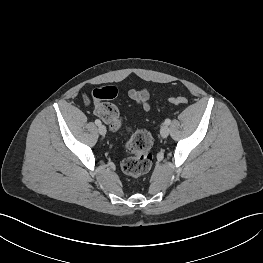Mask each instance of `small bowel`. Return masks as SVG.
<instances>
[{
  "label": "small bowel",
  "mask_w": 263,
  "mask_h": 263,
  "mask_svg": "<svg viewBox=\"0 0 263 263\" xmlns=\"http://www.w3.org/2000/svg\"><path fill=\"white\" fill-rule=\"evenodd\" d=\"M129 96L133 101L142 106L145 111H148L150 109V94L146 89L130 90Z\"/></svg>",
  "instance_id": "small-bowel-1"
}]
</instances>
